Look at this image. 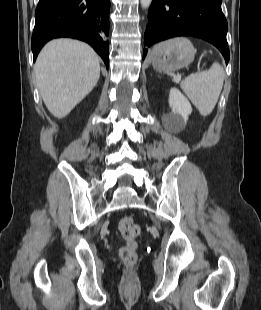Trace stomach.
Masks as SVG:
<instances>
[{
  "label": "stomach",
  "instance_id": "obj_1",
  "mask_svg": "<svg viewBox=\"0 0 261 310\" xmlns=\"http://www.w3.org/2000/svg\"><path fill=\"white\" fill-rule=\"evenodd\" d=\"M196 50L186 38H175L163 42L152 50L151 62L159 72H171L189 66Z\"/></svg>",
  "mask_w": 261,
  "mask_h": 310
}]
</instances>
